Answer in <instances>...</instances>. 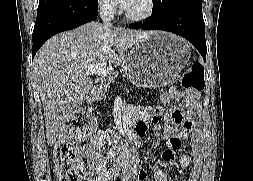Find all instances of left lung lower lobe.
<instances>
[{"mask_svg":"<svg viewBox=\"0 0 253 181\" xmlns=\"http://www.w3.org/2000/svg\"><path fill=\"white\" fill-rule=\"evenodd\" d=\"M133 29L163 30L190 41L206 59L205 24L201 6L180 5L167 12L152 15L144 22L129 25Z\"/></svg>","mask_w":253,"mask_h":181,"instance_id":"0a47b994","label":"left lung lower lobe"}]
</instances>
